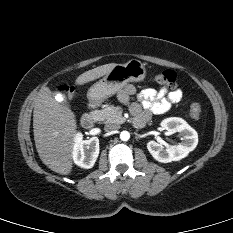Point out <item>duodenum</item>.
<instances>
[{"mask_svg":"<svg viewBox=\"0 0 233 233\" xmlns=\"http://www.w3.org/2000/svg\"><path fill=\"white\" fill-rule=\"evenodd\" d=\"M95 105V103H92L91 108L86 113H84L81 118V124L86 129L93 127L97 120V114L94 110Z\"/></svg>","mask_w":233,"mask_h":233,"instance_id":"duodenum-1","label":"duodenum"}]
</instances>
